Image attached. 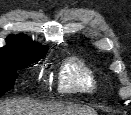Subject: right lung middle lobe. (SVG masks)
<instances>
[{"mask_svg": "<svg viewBox=\"0 0 131 115\" xmlns=\"http://www.w3.org/2000/svg\"><path fill=\"white\" fill-rule=\"evenodd\" d=\"M42 55H25L12 60L7 67H0V97L11 90L18 77L17 71L35 63Z\"/></svg>", "mask_w": 131, "mask_h": 115, "instance_id": "obj_1", "label": "right lung middle lobe"}]
</instances>
